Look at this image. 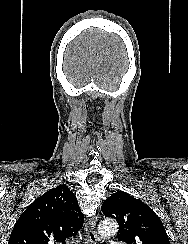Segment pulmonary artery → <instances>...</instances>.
<instances>
[{
	"label": "pulmonary artery",
	"instance_id": "pulmonary-artery-1",
	"mask_svg": "<svg viewBox=\"0 0 188 244\" xmlns=\"http://www.w3.org/2000/svg\"><path fill=\"white\" fill-rule=\"evenodd\" d=\"M112 244H123L122 242H113Z\"/></svg>",
	"mask_w": 188,
	"mask_h": 244
}]
</instances>
